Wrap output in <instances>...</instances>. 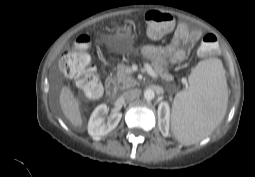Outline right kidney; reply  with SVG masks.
I'll use <instances>...</instances> for the list:
<instances>
[{
  "label": "right kidney",
  "mask_w": 255,
  "mask_h": 177,
  "mask_svg": "<svg viewBox=\"0 0 255 177\" xmlns=\"http://www.w3.org/2000/svg\"><path fill=\"white\" fill-rule=\"evenodd\" d=\"M107 112L108 109L106 104H101L97 106L91 114L88 122V133L93 138H99L107 135L109 132L114 130L120 122L122 113L112 112L107 123H105L104 120Z\"/></svg>",
  "instance_id": "obj_1"
}]
</instances>
